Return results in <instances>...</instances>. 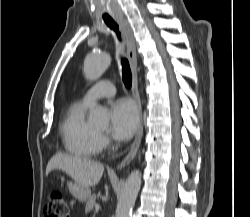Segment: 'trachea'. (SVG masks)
Here are the masks:
<instances>
[{
    "label": "trachea",
    "instance_id": "trachea-1",
    "mask_svg": "<svg viewBox=\"0 0 250 217\" xmlns=\"http://www.w3.org/2000/svg\"><path fill=\"white\" fill-rule=\"evenodd\" d=\"M104 21L106 25L116 33L118 39L120 40L119 28H118V25L115 23V21L111 19H105ZM121 64H122V78H123L124 85L126 86V88H131L132 74H131L129 62L125 57H121Z\"/></svg>",
    "mask_w": 250,
    "mask_h": 217
}]
</instances>
